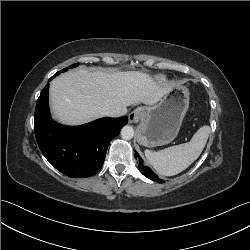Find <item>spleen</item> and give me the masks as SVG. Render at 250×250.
I'll return each instance as SVG.
<instances>
[{
    "label": "spleen",
    "instance_id": "1",
    "mask_svg": "<svg viewBox=\"0 0 250 250\" xmlns=\"http://www.w3.org/2000/svg\"><path fill=\"white\" fill-rule=\"evenodd\" d=\"M210 134L205 125L193 135L190 142L168 147L158 152L145 150V156L161 175L173 176L188 168L201 154Z\"/></svg>",
    "mask_w": 250,
    "mask_h": 250
}]
</instances>
